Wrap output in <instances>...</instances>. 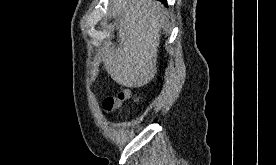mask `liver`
Listing matches in <instances>:
<instances>
[{
    "mask_svg": "<svg viewBox=\"0 0 276 165\" xmlns=\"http://www.w3.org/2000/svg\"><path fill=\"white\" fill-rule=\"evenodd\" d=\"M110 5L111 16L119 20V45L103 52L104 68L122 86H144L157 72L164 7L152 0H112Z\"/></svg>",
    "mask_w": 276,
    "mask_h": 165,
    "instance_id": "6515ba94",
    "label": "liver"
}]
</instances>
